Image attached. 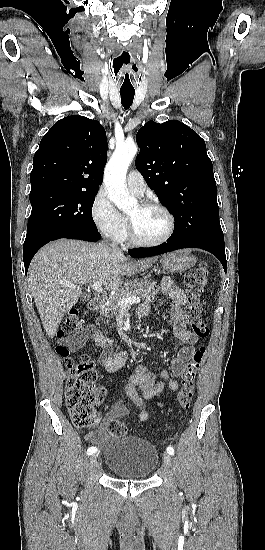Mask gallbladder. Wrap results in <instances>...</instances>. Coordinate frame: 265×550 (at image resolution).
I'll return each mask as SVG.
<instances>
[{"instance_id": "gallbladder-1", "label": "gallbladder", "mask_w": 265, "mask_h": 550, "mask_svg": "<svg viewBox=\"0 0 265 550\" xmlns=\"http://www.w3.org/2000/svg\"><path fill=\"white\" fill-rule=\"evenodd\" d=\"M82 300L83 301H88L89 300V295H82Z\"/></svg>"}]
</instances>
